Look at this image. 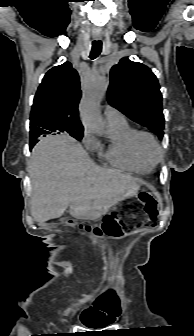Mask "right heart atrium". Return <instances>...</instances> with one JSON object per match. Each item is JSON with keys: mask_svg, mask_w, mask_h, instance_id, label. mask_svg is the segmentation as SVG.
<instances>
[{"mask_svg": "<svg viewBox=\"0 0 194 336\" xmlns=\"http://www.w3.org/2000/svg\"><path fill=\"white\" fill-rule=\"evenodd\" d=\"M82 140L87 149L92 151L97 148L98 141L88 130L84 131Z\"/></svg>", "mask_w": 194, "mask_h": 336, "instance_id": "right-heart-atrium-1", "label": "right heart atrium"}]
</instances>
